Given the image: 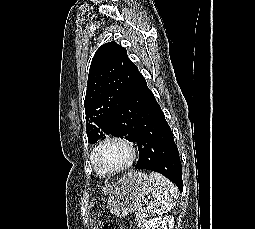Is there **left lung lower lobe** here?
Wrapping results in <instances>:
<instances>
[{
	"instance_id": "obj_1",
	"label": "left lung lower lobe",
	"mask_w": 255,
	"mask_h": 229,
	"mask_svg": "<svg viewBox=\"0 0 255 229\" xmlns=\"http://www.w3.org/2000/svg\"><path fill=\"white\" fill-rule=\"evenodd\" d=\"M117 119L125 123L123 130L135 138L138 146L135 168L161 173L182 192V166L171 128L138 70Z\"/></svg>"
}]
</instances>
